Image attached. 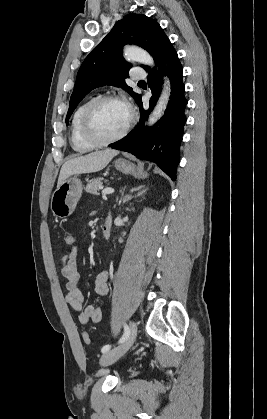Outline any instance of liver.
Returning <instances> with one entry per match:
<instances>
[{
  "label": "liver",
  "instance_id": "liver-1",
  "mask_svg": "<svg viewBox=\"0 0 267 419\" xmlns=\"http://www.w3.org/2000/svg\"><path fill=\"white\" fill-rule=\"evenodd\" d=\"M118 153V150L106 149L66 161L60 170L57 186H60L71 175L102 170Z\"/></svg>",
  "mask_w": 267,
  "mask_h": 419
}]
</instances>
